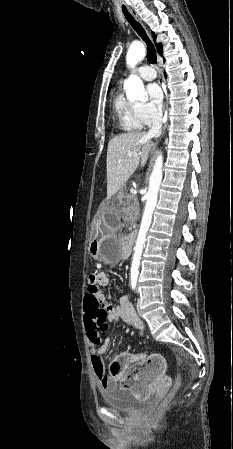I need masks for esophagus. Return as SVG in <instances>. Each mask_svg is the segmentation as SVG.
Wrapping results in <instances>:
<instances>
[{"mask_svg":"<svg viewBox=\"0 0 233 449\" xmlns=\"http://www.w3.org/2000/svg\"><path fill=\"white\" fill-rule=\"evenodd\" d=\"M128 10H129V12L131 13V15H132L138 22H140V23L144 26V24H143V22H142V20H141V18H140V16H139L137 10H135V9L132 8V7H128ZM144 28H145L147 34L149 35V37L152 39L151 34H150V32L148 31V29L146 28V26H144ZM164 109H165V103H164Z\"/></svg>","mask_w":233,"mask_h":449,"instance_id":"esophagus-1","label":"esophagus"}]
</instances>
